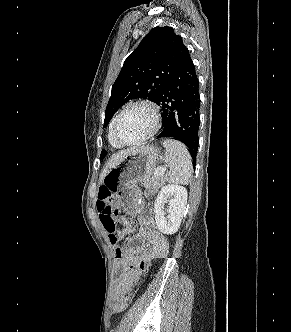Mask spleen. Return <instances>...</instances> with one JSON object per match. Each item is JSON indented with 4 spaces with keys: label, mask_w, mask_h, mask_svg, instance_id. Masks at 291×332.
Returning <instances> with one entry per match:
<instances>
[{
    "label": "spleen",
    "mask_w": 291,
    "mask_h": 332,
    "mask_svg": "<svg viewBox=\"0 0 291 332\" xmlns=\"http://www.w3.org/2000/svg\"><path fill=\"white\" fill-rule=\"evenodd\" d=\"M165 148L164 162L169 166V171L165 175V180L175 184H189L193 166L191 155L186 146L173 139L163 142Z\"/></svg>",
    "instance_id": "3e777b00"
}]
</instances>
